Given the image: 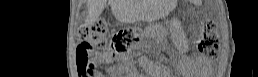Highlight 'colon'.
Returning <instances> with one entry per match:
<instances>
[{"mask_svg":"<svg viewBox=\"0 0 258 77\" xmlns=\"http://www.w3.org/2000/svg\"><path fill=\"white\" fill-rule=\"evenodd\" d=\"M108 26L105 21L97 20L80 29V44L77 51V65L81 75L89 76L97 72V67L91 61L90 54L94 50L105 49L108 45ZM137 36L131 30H121L112 38V48L115 51H125L136 41ZM198 50L206 59H216L219 54V37L212 22L205 21L201 25V35L198 39Z\"/></svg>","mask_w":258,"mask_h":77,"instance_id":"1","label":"colon"}]
</instances>
